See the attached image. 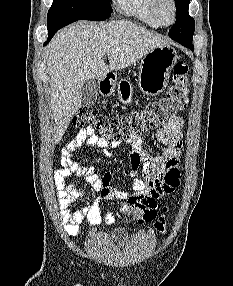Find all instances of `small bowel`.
Wrapping results in <instances>:
<instances>
[{
	"instance_id": "small-bowel-1",
	"label": "small bowel",
	"mask_w": 233,
	"mask_h": 286,
	"mask_svg": "<svg viewBox=\"0 0 233 286\" xmlns=\"http://www.w3.org/2000/svg\"><path fill=\"white\" fill-rule=\"evenodd\" d=\"M182 127L183 119L173 116L163 127L157 129L155 136L162 145V152L159 155H151L144 149V140L140 135L124 140L131 149L129 163L130 174L134 177L133 193L113 188L109 174L101 176L94 167L82 165L74 157V154L83 146H95L101 149L104 156H110L109 149L117 148L121 141H110L105 137H99L93 127L80 130L63 149L61 168L54 173L60 219L67 235L76 238L79 235V225L84 219L94 227L102 223H114L116 217L113 212L107 211L104 217L102 216L101 203L106 200L124 201L120 212L125 219H129L131 217L129 200L141 194H148L152 199V204L140 220L142 222L152 220L156 215V200L172 194L180 184L179 159L182 147ZM140 168L144 171L143 178L137 177ZM71 175L84 177L91 188L99 194L87 206L76 210H70V206L75 201L84 198L85 195L75 184L67 183Z\"/></svg>"
}]
</instances>
